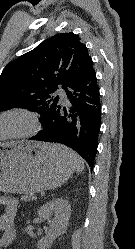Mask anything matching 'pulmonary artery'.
<instances>
[{
    "label": "pulmonary artery",
    "instance_id": "pulmonary-artery-1",
    "mask_svg": "<svg viewBox=\"0 0 135 249\" xmlns=\"http://www.w3.org/2000/svg\"><path fill=\"white\" fill-rule=\"evenodd\" d=\"M57 94L59 95V97L62 101L66 100V94L63 90H61V89L57 90Z\"/></svg>",
    "mask_w": 135,
    "mask_h": 249
}]
</instances>
